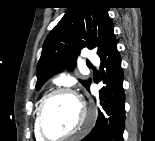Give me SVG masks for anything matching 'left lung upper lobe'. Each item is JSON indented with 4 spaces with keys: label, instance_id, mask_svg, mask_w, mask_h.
<instances>
[{
    "label": "left lung upper lobe",
    "instance_id": "1",
    "mask_svg": "<svg viewBox=\"0 0 155 141\" xmlns=\"http://www.w3.org/2000/svg\"><path fill=\"white\" fill-rule=\"evenodd\" d=\"M104 0H72L60 22L43 44L37 65V83L42 84L64 67L73 68L81 49L97 48L100 54L114 35V27ZM89 89L91 80H80Z\"/></svg>",
    "mask_w": 155,
    "mask_h": 141
}]
</instances>
